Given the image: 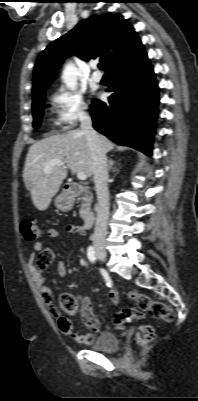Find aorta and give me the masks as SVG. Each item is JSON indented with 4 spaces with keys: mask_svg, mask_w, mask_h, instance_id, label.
Returning a JSON list of instances; mask_svg holds the SVG:
<instances>
[{
    "mask_svg": "<svg viewBox=\"0 0 198 401\" xmlns=\"http://www.w3.org/2000/svg\"><path fill=\"white\" fill-rule=\"evenodd\" d=\"M62 80L70 90L77 88L78 70L73 63H68L62 73Z\"/></svg>",
    "mask_w": 198,
    "mask_h": 401,
    "instance_id": "obj_1",
    "label": "aorta"
}]
</instances>
